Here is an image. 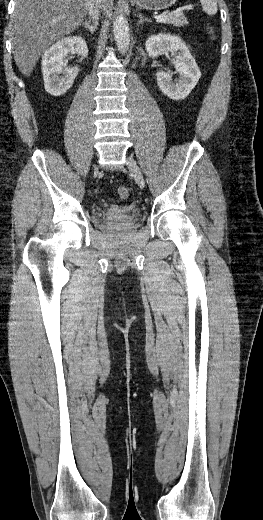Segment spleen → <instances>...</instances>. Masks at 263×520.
Returning <instances> with one entry per match:
<instances>
[{
  "label": "spleen",
  "mask_w": 263,
  "mask_h": 520,
  "mask_svg": "<svg viewBox=\"0 0 263 520\" xmlns=\"http://www.w3.org/2000/svg\"><path fill=\"white\" fill-rule=\"evenodd\" d=\"M203 11L208 15H215L217 13L216 0H200Z\"/></svg>",
  "instance_id": "1"
}]
</instances>
